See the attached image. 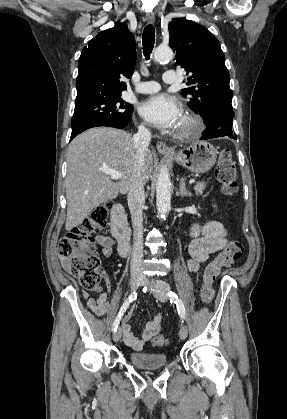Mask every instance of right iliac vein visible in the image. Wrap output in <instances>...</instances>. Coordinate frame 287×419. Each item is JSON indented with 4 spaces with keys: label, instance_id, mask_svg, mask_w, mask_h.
Segmentation results:
<instances>
[{
    "label": "right iliac vein",
    "instance_id": "1",
    "mask_svg": "<svg viewBox=\"0 0 287 419\" xmlns=\"http://www.w3.org/2000/svg\"><path fill=\"white\" fill-rule=\"evenodd\" d=\"M142 281L143 280H142L141 277L132 276L131 279H130L131 290H133V291L136 290L141 285ZM121 336H122V330H121V328H118L113 334V340L115 342H117V341L120 340Z\"/></svg>",
    "mask_w": 287,
    "mask_h": 419
}]
</instances>
